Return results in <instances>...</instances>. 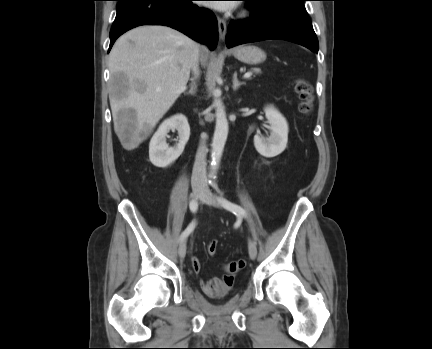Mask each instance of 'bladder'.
I'll use <instances>...</instances> for the list:
<instances>
[{
  "mask_svg": "<svg viewBox=\"0 0 432 349\" xmlns=\"http://www.w3.org/2000/svg\"><path fill=\"white\" fill-rule=\"evenodd\" d=\"M227 295H228V294H226V295H224V296L218 298V299L220 300L221 303L224 302V300L226 299V296H227ZM214 306H215V307H220V306H222V305H214Z\"/></svg>",
  "mask_w": 432,
  "mask_h": 349,
  "instance_id": "1",
  "label": "bladder"
}]
</instances>
